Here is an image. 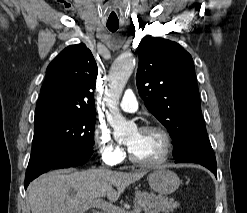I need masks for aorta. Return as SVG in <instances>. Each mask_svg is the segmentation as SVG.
<instances>
[{
  "instance_id": "obj_1",
  "label": "aorta",
  "mask_w": 247,
  "mask_h": 213,
  "mask_svg": "<svg viewBox=\"0 0 247 213\" xmlns=\"http://www.w3.org/2000/svg\"><path fill=\"white\" fill-rule=\"evenodd\" d=\"M134 65V57L131 54H123L115 61L109 74V82L104 100L110 110L107 118L110 125L114 128L115 134H126L135 127L133 123L128 122L122 116L118 108L119 99L133 72Z\"/></svg>"
}]
</instances>
